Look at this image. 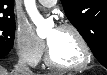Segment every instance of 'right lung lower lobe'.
<instances>
[{
	"label": "right lung lower lobe",
	"mask_w": 107,
	"mask_h": 75,
	"mask_svg": "<svg viewBox=\"0 0 107 75\" xmlns=\"http://www.w3.org/2000/svg\"><path fill=\"white\" fill-rule=\"evenodd\" d=\"M10 51L8 50H1L0 51V58H3L4 56H6Z\"/></svg>",
	"instance_id": "right-lung-lower-lobe-1"
}]
</instances>
